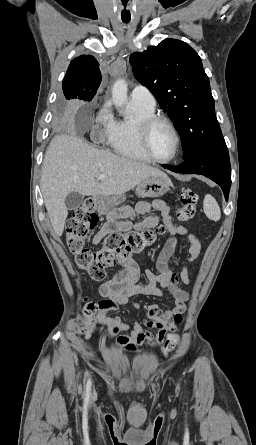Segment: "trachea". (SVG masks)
Returning <instances> with one entry per match:
<instances>
[{
    "instance_id": "3493384b",
    "label": "trachea",
    "mask_w": 256,
    "mask_h": 445,
    "mask_svg": "<svg viewBox=\"0 0 256 445\" xmlns=\"http://www.w3.org/2000/svg\"><path fill=\"white\" fill-rule=\"evenodd\" d=\"M123 22H124V23H128V22H129V20H123Z\"/></svg>"
}]
</instances>
